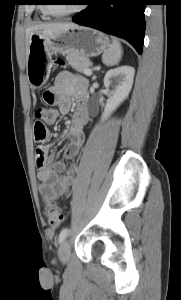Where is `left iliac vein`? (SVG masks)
<instances>
[{
  "label": "left iliac vein",
  "mask_w": 181,
  "mask_h": 300,
  "mask_svg": "<svg viewBox=\"0 0 181 300\" xmlns=\"http://www.w3.org/2000/svg\"><path fill=\"white\" fill-rule=\"evenodd\" d=\"M70 258V244L69 241H64L59 248V259L66 263Z\"/></svg>",
  "instance_id": "4c4485c4"
}]
</instances>
